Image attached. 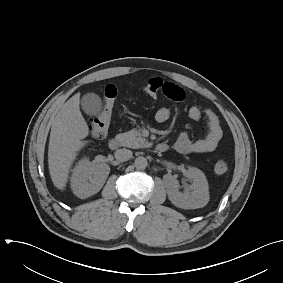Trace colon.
<instances>
[{"instance_id": "5ec220e1", "label": "colon", "mask_w": 283, "mask_h": 283, "mask_svg": "<svg viewBox=\"0 0 283 283\" xmlns=\"http://www.w3.org/2000/svg\"><path fill=\"white\" fill-rule=\"evenodd\" d=\"M162 86L163 81L160 78H151L144 84L143 89L147 94L155 96L161 92ZM116 97V87L114 85H107L104 90L100 112L90 123L92 136L103 138L107 134ZM227 170L228 163L225 160H219L214 165V172L218 175L224 174Z\"/></svg>"}]
</instances>
